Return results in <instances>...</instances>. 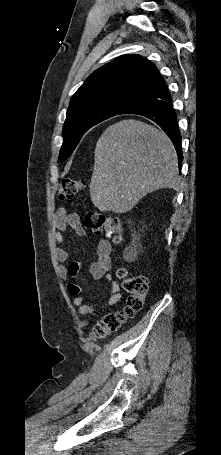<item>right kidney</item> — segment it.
<instances>
[{"label":"right kidney","instance_id":"1","mask_svg":"<svg viewBox=\"0 0 221 455\" xmlns=\"http://www.w3.org/2000/svg\"><path fill=\"white\" fill-rule=\"evenodd\" d=\"M137 252L136 249L133 247H128L124 251V258L128 261H132L136 258Z\"/></svg>","mask_w":221,"mask_h":455}]
</instances>
